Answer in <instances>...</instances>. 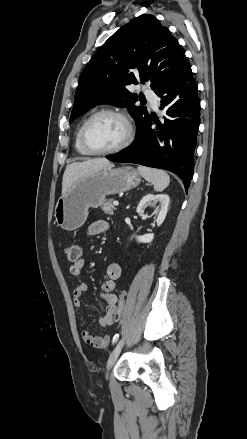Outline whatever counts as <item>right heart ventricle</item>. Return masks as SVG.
Masks as SVG:
<instances>
[{
    "mask_svg": "<svg viewBox=\"0 0 247 439\" xmlns=\"http://www.w3.org/2000/svg\"><path fill=\"white\" fill-rule=\"evenodd\" d=\"M80 130H81V127L76 132L75 139H74V146H75V149L78 153H80L82 155H88L85 152V150L82 148L81 143H80Z\"/></svg>",
    "mask_w": 247,
    "mask_h": 439,
    "instance_id": "1",
    "label": "right heart ventricle"
}]
</instances>
